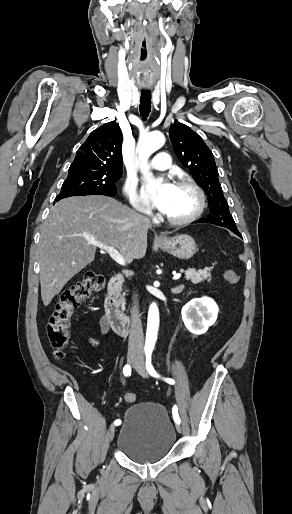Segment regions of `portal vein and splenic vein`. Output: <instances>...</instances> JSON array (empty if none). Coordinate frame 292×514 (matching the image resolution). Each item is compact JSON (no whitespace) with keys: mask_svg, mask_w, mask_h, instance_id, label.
<instances>
[{"mask_svg":"<svg viewBox=\"0 0 292 514\" xmlns=\"http://www.w3.org/2000/svg\"><path fill=\"white\" fill-rule=\"evenodd\" d=\"M91 244H93V242H91ZM97 248L105 250V252H108L109 256H111V258L117 262V264L125 266L126 262L123 256H121V254H119L118 250H115V248H111V246H104V244H98ZM179 278H181V274H174L173 280H179Z\"/></svg>","mask_w":292,"mask_h":514,"instance_id":"portal-vein-and-splenic-vein-1","label":"portal vein and splenic vein"}]
</instances>
